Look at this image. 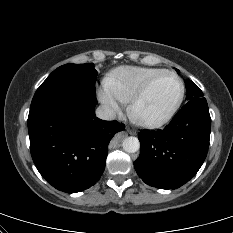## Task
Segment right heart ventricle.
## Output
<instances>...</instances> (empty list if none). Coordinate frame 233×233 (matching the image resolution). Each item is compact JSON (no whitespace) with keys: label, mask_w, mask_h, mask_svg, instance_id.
Wrapping results in <instances>:
<instances>
[{"label":"right heart ventricle","mask_w":233,"mask_h":233,"mask_svg":"<svg viewBox=\"0 0 233 233\" xmlns=\"http://www.w3.org/2000/svg\"><path fill=\"white\" fill-rule=\"evenodd\" d=\"M161 68L124 66L117 68L104 79V88L119 102L129 103L135 93Z\"/></svg>","instance_id":"obj_1"}]
</instances>
